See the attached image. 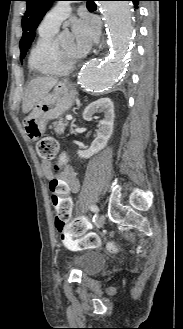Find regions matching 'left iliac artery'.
<instances>
[{"label": "left iliac artery", "instance_id": "1", "mask_svg": "<svg viewBox=\"0 0 183 329\" xmlns=\"http://www.w3.org/2000/svg\"><path fill=\"white\" fill-rule=\"evenodd\" d=\"M90 209H91L92 212H95V213H97V212L99 211L98 207L95 206V205H92V206L90 207Z\"/></svg>", "mask_w": 183, "mask_h": 329}]
</instances>
